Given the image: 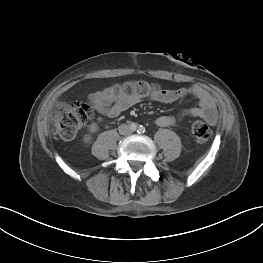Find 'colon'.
I'll return each instance as SVG.
<instances>
[{"instance_id": "obj_1", "label": "colon", "mask_w": 263, "mask_h": 263, "mask_svg": "<svg viewBox=\"0 0 263 263\" xmlns=\"http://www.w3.org/2000/svg\"><path fill=\"white\" fill-rule=\"evenodd\" d=\"M116 96L127 95L138 98L153 95L159 91L157 85L143 81H128L109 89ZM91 108L84 103L75 102L60 106L53 115L54 134L63 140L73 139L79 130L92 118ZM192 134L199 142H206L211 138L212 131L203 121H195L191 127Z\"/></svg>"}]
</instances>
